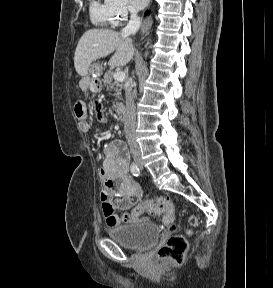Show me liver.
<instances>
[{"instance_id": "obj_1", "label": "liver", "mask_w": 273, "mask_h": 288, "mask_svg": "<svg viewBox=\"0 0 273 288\" xmlns=\"http://www.w3.org/2000/svg\"><path fill=\"white\" fill-rule=\"evenodd\" d=\"M114 55L109 60L111 68L125 66L135 53V48L129 38L120 32L107 29H90L80 38L74 56L76 72L84 77L88 74L91 63L104 58L109 54Z\"/></svg>"}]
</instances>
